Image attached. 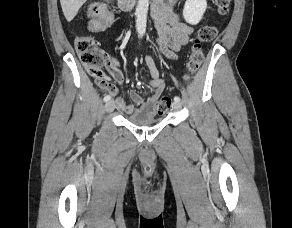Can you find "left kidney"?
<instances>
[{"instance_id": "1", "label": "left kidney", "mask_w": 292, "mask_h": 228, "mask_svg": "<svg viewBox=\"0 0 292 228\" xmlns=\"http://www.w3.org/2000/svg\"><path fill=\"white\" fill-rule=\"evenodd\" d=\"M206 9V0H186L183 17L187 23L197 25L201 21Z\"/></svg>"}]
</instances>
